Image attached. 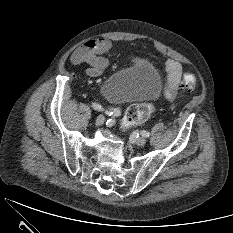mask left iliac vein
Listing matches in <instances>:
<instances>
[{"label": "left iliac vein", "instance_id": "left-iliac-vein-1", "mask_svg": "<svg viewBox=\"0 0 233 233\" xmlns=\"http://www.w3.org/2000/svg\"><path fill=\"white\" fill-rule=\"evenodd\" d=\"M135 142L138 146H143L146 144L147 139L144 136H140L135 140Z\"/></svg>", "mask_w": 233, "mask_h": 233}]
</instances>
